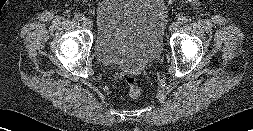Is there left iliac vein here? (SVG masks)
I'll return each instance as SVG.
<instances>
[{"instance_id":"1","label":"left iliac vein","mask_w":253,"mask_h":131,"mask_svg":"<svg viewBox=\"0 0 253 131\" xmlns=\"http://www.w3.org/2000/svg\"><path fill=\"white\" fill-rule=\"evenodd\" d=\"M178 26H179L178 22H173V23H171L169 29H170V31H175L178 28Z\"/></svg>"}]
</instances>
